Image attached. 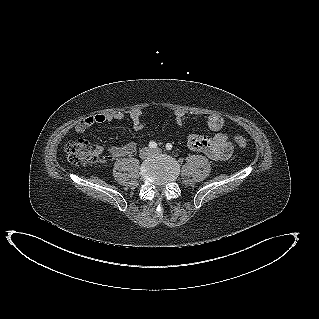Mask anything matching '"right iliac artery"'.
Segmentation results:
<instances>
[{
	"mask_svg": "<svg viewBox=\"0 0 319 319\" xmlns=\"http://www.w3.org/2000/svg\"><path fill=\"white\" fill-rule=\"evenodd\" d=\"M149 147H150L151 149H155V148H157V144H156V142L151 141V142L149 143Z\"/></svg>",
	"mask_w": 319,
	"mask_h": 319,
	"instance_id": "obj_1",
	"label": "right iliac artery"
}]
</instances>
